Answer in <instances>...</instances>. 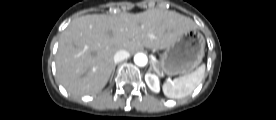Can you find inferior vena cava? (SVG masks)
Instances as JSON below:
<instances>
[{
    "label": "inferior vena cava",
    "mask_w": 276,
    "mask_h": 120,
    "mask_svg": "<svg viewBox=\"0 0 276 120\" xmlns=\"http://www.w3.org/2000/svg\"><path fill=\"white\" fill-rule=\"evenodd\" d=\"M130 54L126 50H119L114 55V62L119 63L121 61H124L125 59L129 58Z\"/></svg>",
    "instance_id": "inferior-vena-cava-1"
}]
</instances>
